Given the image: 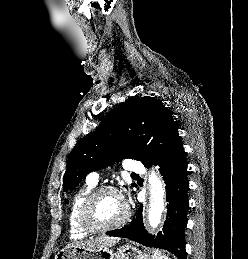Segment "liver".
<instances>
[{
	"instance_id": "obj_1",
	"label": "liver",
	"mask_w": 248,
	"mask_h": 259,
	"mask_svg": "<svg viewBox=\"0 0 248 259\" xmlns=\"http://www.w3.org/2000/svg\"><path fill=\"white\" fill-rule=\"evenodd\" d=\"M119 240V237L100 236L94 239L75 242L72 246L86 249L110 248L118 243Z\"/></svg>"
}]
</instances>
